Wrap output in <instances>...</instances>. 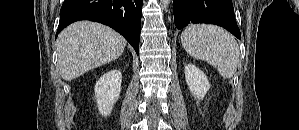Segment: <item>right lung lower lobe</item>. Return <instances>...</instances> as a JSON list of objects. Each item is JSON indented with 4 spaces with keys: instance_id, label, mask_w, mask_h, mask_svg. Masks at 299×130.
<instances>
[{
    "instance_id": "1",
    "label": "right lung lower lobe",
    "mask_w": 299,
    "mask_h": 130,
    "mask_svg": "<svg viewBox=\"0 0 299 130\" xmlns=\"http://www.w3.org/2000/svg\"><path fill=\"white\" fill-rule=\"evenodd\" d=\"M142 3L143 0H65L56 37L75 21H95L119 32L139 55Z\"/></svg>"
}]
</instances>
